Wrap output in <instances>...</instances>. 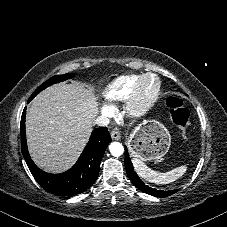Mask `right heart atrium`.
Here are the masks:
<instances>
[{"instance_id": "d8ad5b80", "label": "right heart atrium", "mask_w": 227, "mask_h": 227, "mask_svg": "<svg viewBox=\"0 0 227 227\" xmlns=\"http://www.w3.org/2000/svg\"><path fill=\"white\" fill-rule=\"evenodd\" d=\"M102 109L106 111V110H108V109H109V107L104 106Z\"/></svg>"}]
</instances>
